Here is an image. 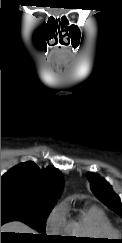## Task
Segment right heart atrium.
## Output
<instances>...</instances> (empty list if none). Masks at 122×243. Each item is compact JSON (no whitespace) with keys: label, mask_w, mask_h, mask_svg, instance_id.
<instances>
[{"label":"right heart atrium","mask_w":122,"mask_h":243,"mask_svg":"<svg viewBox=\"0 0 122 243\" xmlns=\"http://www.w3.org/2000/svg\"><path fill=\"white\" fill-rule=\"evenodd\" d=\"M47 230L51 233L59 234L65 231L66 217L62 205L56 206L49 214L46 221Z\"/></svg>","instance_id":"obj_1"}]
</instances>
